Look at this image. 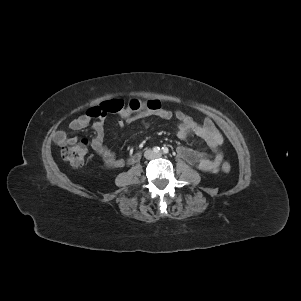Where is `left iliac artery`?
<instances>
[{"mask_svg": "<svg viewBox=\"0 0 301 301\" xmlns=\"http://www.w3.org/2000/svg\"><path fill=\"white\" fill-rule=\"evenodd\" d=\"M162 151H163L164 154H167L169 152V149L167 147H163Z\"/></svg>", "mask_w": 301, "mask_h": 301, "instance_id": "left-iliac-artery-1", "label": "left iliac artery"}]
</instances>
